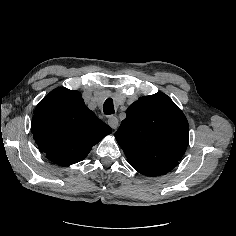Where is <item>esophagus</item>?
Instances as JSON below:
<instances>
[{
  "label": "esophagus",
  "instance_id": "1",
  "mask_svg": "<svg viewBox=\"0 0 236 236\" xmlns=\"http://www.w3.org/2000/svg\"><path fill=\"white\" fill-rule=\"evenodd\" d=\"M108 124L113 128L116 129L118 127L119 121L116 117L111 116L108 118Z\"/></svg>",
  "mask_w": 236,
  "mask_h": 236
}]
</instances>
